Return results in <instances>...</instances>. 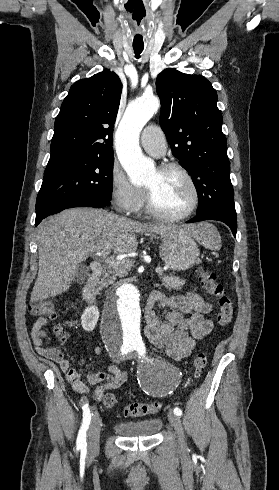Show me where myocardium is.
<instances>
[{"label":"myocardium","instance_id":"1","mask_svg":"<svg viewBox=\"0 0 279 490\" xmlns=\"http://www.w3.org/2000/svg\"><path fill=\"white\" fill-rule=\"evenodd\" d=\"M159 171H161V172L174 171V172H178L181 175H183L184 178L187 180V182H188V184L192 190L193 197H192V201H191L190 205L183 212H181L179 214H175V215H170V214H166V213L162 212L156 206L154 199H153V196H152L151 188L147 187V189H146L147 190V208H148L149 213L151 215H153L154 217H156L160 220H163V221L177 222V221L184 220L185 218L189 217L196 210V208L199 205V201H200V192H199L198 186H197L193 176L185 167H183L182 165H180L178 163H166L159 168Z\"/></svg>","mask_w":279,"mask_h":490}]
</instances>
